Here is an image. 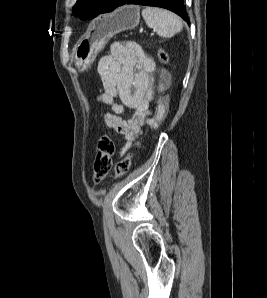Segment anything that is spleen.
<instances>
[{
  "label": "spleen",
  "instance_id": "obj_1",
  "mask_svg": "<svg viewBox=\"0 0 267 298\" xmlns=\"http://www.w3.org/2000/svg\"><path fill=\"white\" fill-rule=\"evenodd\" d=\"M142 17L146 25L154 29L161 37L170 38L182 31L183 23L181 19L171 11L145 7L142 10Z\"/></svg>",
  "mask_w": 267,
  "mask_h": 298
}]
</instances>
